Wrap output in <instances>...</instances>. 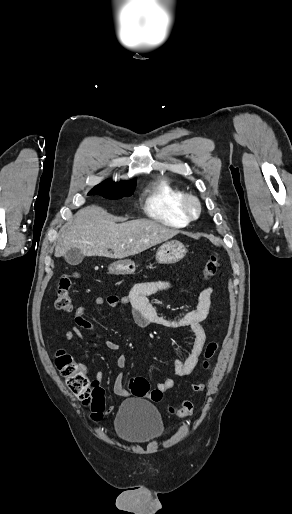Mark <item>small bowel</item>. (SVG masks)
I'll return each instance as SVG.
<instances>
[{
  "instance_id": "small-bowel-1",
  "label": "small bowel",
  "mask_w": 292,
  "mask_h": 514,
  "mask_svg": "<svg viewBox=\"0 0 292 514\" xmlns=\"http://www.w3.org/2000/svg\"><path fill=\"white\" fill-rule=\"evenodd\" d=\"M172 283L167 280H155L140 282L134 285L128 295L119 297L117 295L109 296H96L93 299V303L97 307L107 306L111 309L118 307H126L129 310L130 316L135 324L141 328H147L150 326H160L165 328H179L188 327L194 337L190 343L188 355L185 360H176L173 363L174 375L177 378H183L189 376L195 369L199 356L202 352L203 346L206 341V333L202 326V322L207 319L211 307V295L212 288L206 287L203 289L198 297V304L194 309H191L184 313L182 316L176 319H170L162 315L157 309L150 303L148 297L160 292L170 289ZM86 308L83 305L78 306L73 315V327L64 333V338L68 342L74 341L80 336L81 330L95 332L92 323L85 317ZM90 346H97V342L89 344ZM105 346L111 352H119L121 347L115 341H106ZM127 358L124 354H120L117 357L116 364L122 368L126 365ZM78 369L87 371L90 366L87 364L81 365L78 362ZM96 380H101L103 374L101 371L94 373ZM175 385V381L171 378L165 379L159 382L156 389L161 392H166L172 389ZM114 393L119 397H129L130 392L125 388L123 384V376H118L113 384ZM115 409L113 404L108 406L107 412L112 413Z\"/></svg>"
}]
</instances>
